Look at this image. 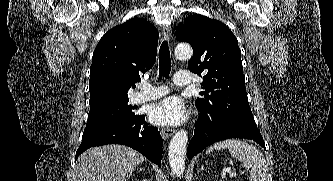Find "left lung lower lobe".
Returning <instances> with one entry per match:
<instances>
[{
  "instance_id": "obj_1",
  "label": "left lung lower lobe",
  "mask_w": 333,
  "mask_h": 181,
  "mask_svg": "<svg viewBox=\"0 0 333 181\" xmlns=\"http://www.w3.org/2000/svg\"><path fill=\"white\" fill-rule=\"evenodd\" d=\"M199 111L194 136L187 149L188 159L212 143L229 138L251 139L265 149L263 137L255 123L225 111L214 109H199Z\"/></svg>"
}]
</instances>
